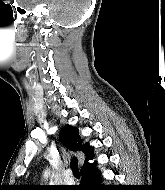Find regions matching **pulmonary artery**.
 Instances as JSON below:
<instances>
[{"instance_id":"e3ab8cb5","label":"pulmonary artery","mask_w":165,"mask_h":190,"mask_svg":"<svg viewBox=\"0 0 165 190\" xmlns=\"http://www.w3.org/2000/svg\"><path fill=\"white\" fill-rule=\"evenodd\" d=\"M73 181H74V179L72 177V172L70 170H66L64 182L66 184H71V183H73Z\"/></svg>"}]
</instances>
